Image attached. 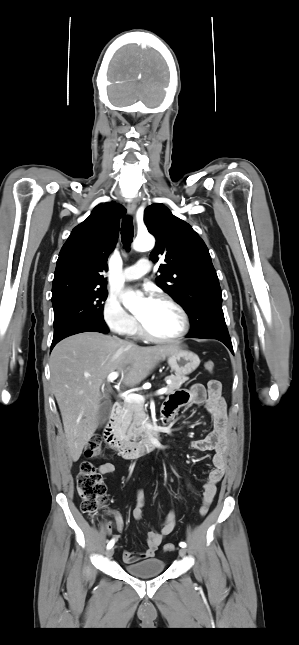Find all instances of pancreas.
<instances>
[{
    "instance_id": "pancreas-1",
    "label": "pancreas",
    "mask_w": 299,
    "mask_h": 645,
    "mask_svg": "<svg viewBox=\"0 0 299 645\" xmlns=\"http://www.w3.org/2000/svg\"><path fill=\"white\" fill-rule=\"evenodd\" d=\"M189 378L184 375L168 376L166 380H170L165 388L166 394H171L179 389L183 383ZM147 415L144 411L143 403L124 402L123 413L119 417V436L125 441L136 440L143 435L145 431V421Z\"/></svg>"
}]
</instances>
